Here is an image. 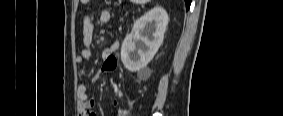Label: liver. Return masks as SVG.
I'll return each instance as SVG.
<instances>
[{
    "label": "liver",
    "mask_w": 283,
    "mask_h": 116,
    "mask_svg": "<svg viewBox=\"0 0 283 116\" xmlns=\"http://www.w3.org/2000/svg\"><path fill=\"white\" fill-rule=\"evenodd\" d=\"M136 2H138V3H146V2H149V0H136Z\"/></svg>",
    "instance_id": "6515ba94"
}]
</instances>
